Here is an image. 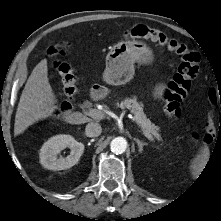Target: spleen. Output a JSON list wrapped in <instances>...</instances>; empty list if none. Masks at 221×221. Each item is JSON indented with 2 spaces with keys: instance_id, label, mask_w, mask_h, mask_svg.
<instances>
[{
  "instance_id": "obj_1",
  "label": "spleen",
  "mask_w": 221,
  "mask_h": 221,
  "mask_svg": "<svg viewBox=\"0 0 221 221\" xmlns=\"http://www.w3.org/2000/svg\"><path fill=\"white\" fill-rule=\"evenodd\" d=\"M210 151L208 146H203L199 154L196 156V158L192 161L191 169L193 170V174L197 175L206 165L207 160L209 158Z\"/></svg>"
}]
</instances>
